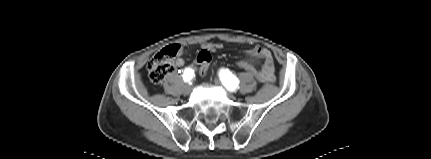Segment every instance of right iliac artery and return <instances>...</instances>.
Instances as JSON below:
<instances>
[{
	"mask_svg": "<svg viewBox=\"0 0 431 159\" xmlns=\"http://www.w3.org/2000/svg\"><path fill=\"white\" fill-rule=\"evenodd\" d=\"M194 76V70L192 68H186L183 72V80L189 82Z\"/></svg>",
	"mask_w": 431,
	"mask_h": 159,
	"instance_id": "right-iliac-artery-1",
	"label": "right iliac artery"
}]
</instances>
